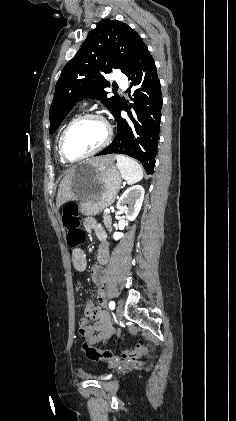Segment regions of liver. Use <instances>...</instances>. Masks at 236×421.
<instances>
[{"instance_id": "liver-1", "label": "liver", "mask_w": 236, "mask_h": 421, "mask_svg": "<svg viewBox=\"0 0 236 421\" xmlns=\"http://www.w3.org/2000/svg\"><path fill=\"white\" fill-rule=\"evenodd\" d=\"M116 158V154H105V156H94L90 162L97 164V166H109ZM74 170H67V174L63 176L56 198V206L60 208L61 204L67 202V200H73L75 198V192L73 188Z\"/></svg>"}]
</instances>
